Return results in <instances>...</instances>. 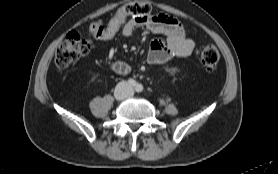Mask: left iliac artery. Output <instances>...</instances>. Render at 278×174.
Masks as SVG:
<instances>
[{"instance_id": "obj_1", "label": "left iliac artery", "mask_w": 278, "mask_h": 174, "mask_svg": "<svg viewBox=\"0 0 278 174\" xmlns=\"http://www.w3.org/2000/svg\"><path fill=\"white\" fill-rule=\"evenodd\" d=\"M135 90L137 92H142L143 91V86L141 84H137L136 87H135Z\"/></svg>"}]
</instances>
